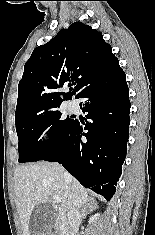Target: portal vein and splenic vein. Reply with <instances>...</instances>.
Here are the masks:
<instances>
[{"label": "portal vein and splenic vein", "mask_w": 155, "mask_h": 235, "mask_svg": "<svg viewBox=\"0 0 155 235\" xmlns=\"http://www.w3.org/2000/svg\"><path fill=\"white\" fill-rule=\"evenodd\" d=\"M52 198L54 201L60 202V197L58 195H53Z\"/></svg>", "instance_id": "1"}]
</instances>
